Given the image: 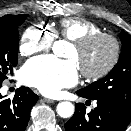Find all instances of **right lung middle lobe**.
Instances as JSON below:
<instances>
[{
	"mask_svg": "<svg viewBox=\"0 0 131 131\" xmlns=\"http://www.w3.org/2000/svg\"><path fill=\"white\" fill-rule=\"evenodd\" d=\"M28 15H9L0 19V85L13 72L18 63L19 33L21 25Z\"/></svg>",
	"mask_w": 131,
	"mask_h": 131,
	"instance_id": "obj_1",
	"label": "right lung middle lobe"
}]
</instances>
